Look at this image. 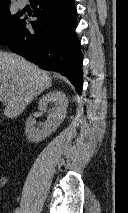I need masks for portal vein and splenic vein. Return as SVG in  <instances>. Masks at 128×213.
<instances>
[{
    "mask_svg": "<svg viewBox=\"0 0 128 213\" xmlns=\"http://www.w3.org/2000/svg\"><path fill=\"white\" fill-rule=\"evenodd\" d=\"M0 101H5V99H4V98H2V97H0Z\"/></svg>",
    "mask_w": 128,
    "mask_h": 213,
    "instance_id": "portal-vein-and-splenic-vein-1",
    "label": "portal vein and splenic vein"
}]
</instances>
